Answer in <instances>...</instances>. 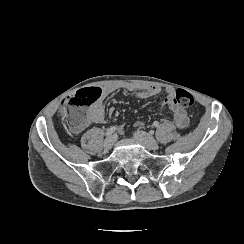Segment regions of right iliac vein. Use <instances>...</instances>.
<instances>
[{"mask_svg": "<svg viewBox=\"0 0 244 244\" xmlns=\"http://www.w3.org/2000/svg\"><path fill=\"white\" fill-rule=\"evenodd\" d=\"M113 143H114V138L112 136L111 137H108L104 141V148L107 149V150L111 149Z\"/></svg>", "mask_w": 244, "mask_h": 244, "instance_id": "right-iliac-vein-1", "label": "right iliac vein"}]
</instances>
